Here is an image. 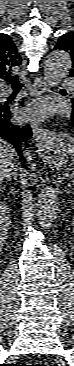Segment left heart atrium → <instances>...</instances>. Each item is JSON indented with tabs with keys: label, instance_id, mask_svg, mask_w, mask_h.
<instances>
[{
	"label": "left heart atrium",
	"instance_id": "left-heart-atrium-1",
	"mask_svg": "<svg viewBox=\"0 0 74 366\" xmlns=\"http://www.w3.org/2000/svg\"><path fill=\"white\" fill-rule=\"evenodd\" d=\"M48 105L46 103H37L28 110V114L36 116H44L48 113Z\"/></svg>",
	"mask_w": 74,
	"mask_h": 366
}]
</instances>
